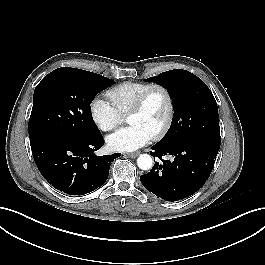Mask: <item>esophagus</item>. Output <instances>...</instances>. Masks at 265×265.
I'll use <instances>...</instances> for the list:
<instances>
[{
    "label": "esophagus",
    "mask_w": 265,
    "mask_h": 265,
    "mask_svg": "<svg viewBox=\"0 0 265 265\" xmlns=\"http://www.w3.org/2000/svg\"><path fill=\"white\" fill-rule=\"evenodd\" d=\"M124 155L128 156L130 158H135V157H137L139 155V153H125Z\"/></svg>",
    "instance_id": "obj_1"
}]
</instances>
